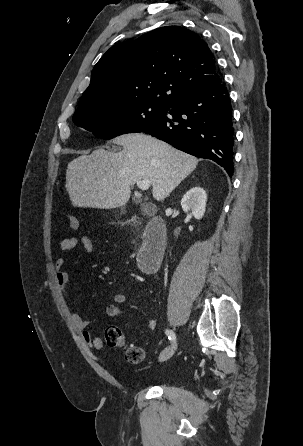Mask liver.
I'll use <instances>...</instances> for the list:
<instances>
[{
  "instance_id": "liver-1",
  "label": "liver",
  "mask_w": 303,
  "mask_h": 446,
  "mask_svg": "<svg viewBox=\"0 0 303 446\" xmlns=\"http://www.w3.org/2000/svg\"><path fill=\"white\" fill-rule=\"evenodd\" d=\"M118 153L103 148L82 155L67 166L66 189L75 207L112 209L124 206L130 187L148 180L152 195L163 201L197 166L198 159L143 133L113 140Z\"/></svg>"
}]
</instances>
